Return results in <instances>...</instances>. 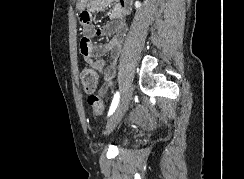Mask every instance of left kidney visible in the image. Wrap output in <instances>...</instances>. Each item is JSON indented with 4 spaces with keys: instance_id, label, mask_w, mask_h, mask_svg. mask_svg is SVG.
Here are the masks:
<instances>
[{
    "instance_id": "1",
    "label": "left kidney",
    "mask_w": 244,
    "mask_h": 179,
    "mask_svg": "<svg viewBox=\"0 0 244 179\" xmlns=\"http://www.w3.org/2000/svg\"><path fill=\"white\" fill-rule=\"evenodd\" d=\"M135 8H141L140 2H135Z\"/></svg>"
}]
</instances>
